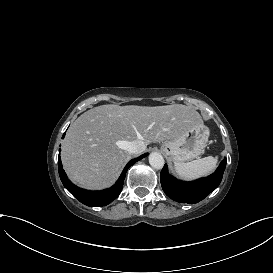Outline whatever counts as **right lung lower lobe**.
Masks as SVG:
<instances>
[{"instance_id":"98d812e1","label":"right lung lower lobe","mask_w":273,"mask_h":273,"mask_svg":"<svg viewBox=\"0 0 273 273\" xmlns=\"http://www.w3.org/2000/svg\"><path fill=\"white\" fill-rule=\"evenodd\" d=\"M64 136H65V133L63 134L62 138ZM147 155L148 153H145L144 155H141L138 158L130 160L128 164L125 166L121 176L119 177L115 185H113L109 189H105L102 191H88V190L81 189L75 186L74 184H72L68 180L67 175L65 171L63 170L60 156L58 157L59 176L64 187L81 203L90 207L105 206V205H108L110 202H112L115 198H117L119 194L121 193L128 168L132 166L133 164H135L137 161L146 157Z\"/></svg>"}]
</instances>
